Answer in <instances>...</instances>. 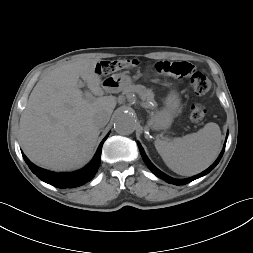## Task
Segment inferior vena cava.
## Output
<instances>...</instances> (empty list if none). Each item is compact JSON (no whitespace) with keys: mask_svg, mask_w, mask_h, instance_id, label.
Masks as SVG:
<instances>
[{"mask_svg":"<svg viewBox=\"0 0 253 253\" xmlns=\"http://www.w3.org/2000/svg\"><path fill=\"white\" fill-rule=\"evenodd\" d=\"M110 119V116L106 113L98 114L95 118V123L99 127H104Z\"/></svg>","mask_w":253,"mask_h":253,"instance_id":"inferior-vena-cava-1","label":"inferior vena cava"}]
</instances>
